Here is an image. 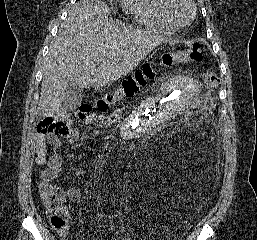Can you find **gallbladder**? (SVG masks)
Segmentation results:
<instances>
[{
  "instance_id": "gallbladder-1",
  "label": "gallbladder",
  "mask_w": 257,
  "mask_h": 240,
  "mask_svg": "<svg viewBox=\"0 0 257 240\" xmlns=\"http://www.w3.org/2000/svg\"><path fill=\"white\" fill-rule=\"evenodd\" d=\"M82 98L83 95L80 87L75 82L70 81L67 85L66 95L62 103L63 110L68 112L76 110L81 105Z\"/></svg>"
}]
</instances>
